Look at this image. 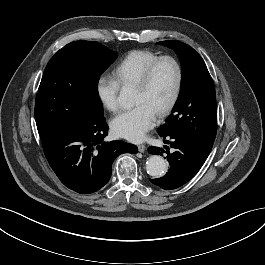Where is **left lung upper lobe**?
Listing matches in <instances>:
<instances>
[{
	"mask_svg": "<svg viewBox=\"0 0 265 265\" xmlns=\"http://www.w3.org/2000/svg\"><path fill=\"white\" fill-rule=\"evenodd\" d=\"M158 44L176 52L181 62L182 80L172 113L157 132L160 136L188 139L209 154L217 131V105L215 87L208 69L190 46L177 40Z\"/></svg>",
	"mask_w": 265,
	"mask_h": 265,
	"instance_id": "5c2ea615",
	"label": "left lung upper lobe"
}]
</instances>
